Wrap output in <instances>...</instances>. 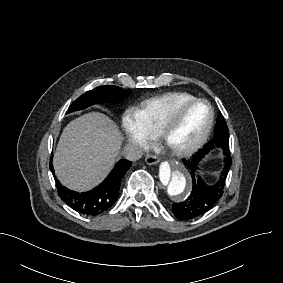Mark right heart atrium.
Masks as SVG:
<instances>
[{"mask_svg": "<svg viewBox=\"0 0 283 283\" xmlns=\"http://www.w3.org/2000/svg\"><path fill=\"white\" fill-rule=\"evenodd\" d=\"M117 136L124 151L134 158L141 157L150 148L153 139L141 114L133 106L123 110Z\"/></svg>", "mask_w": 283, "mask_h": 283, "instance_id": "d8ad5b80", "label": "right heart atrium"}]
</instances>
